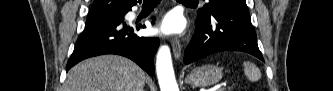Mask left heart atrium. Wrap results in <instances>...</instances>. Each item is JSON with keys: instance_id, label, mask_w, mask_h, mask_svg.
Returning <instances> with one entry per match:
<instances>
[{"instance_id": "obj_1", "label": "left heart atrium", "mask_w": 333, "mask_h": 91, "mask_svg": "<svg viewBox=\"0 0 333 91\" xmlns=\"http://www.w3.org/2000/svg\"><path fill=\"white\" fill-rule=\"evenodd\" d=\"M184 29L182 17L177 14L171 13L165 16L160 26L157 28V33L160 35H175L179 34Z\"/></svg>"}]
</instances>
